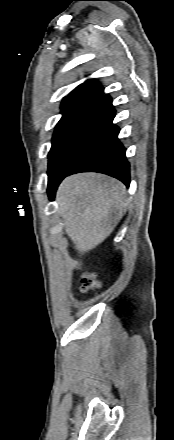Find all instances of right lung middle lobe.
Listing matches in <instances>:
<instances>
[{
  "instance_id": "obj_1",
  "label": "right lung middle lobe",
  "mask_w": 174,
  "mask_h": 440,
  "mask_svg": "<svg viewBox=\"0 0 174 440\" xmlns=\"http://www.w3.org/2000/svg\"><path fill=\"white\" fill-rule=\"evenodd\" d=\"M99 109V99H91L62 110L48 155V186L60 180L83 152Z\"/></svg>"
}]
</instances>
